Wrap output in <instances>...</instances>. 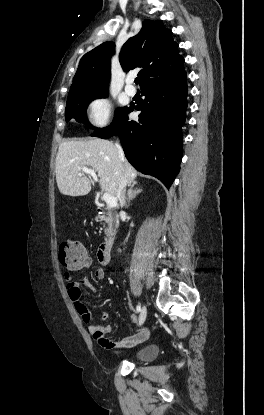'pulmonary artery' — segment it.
<instances>
[{"instance_id": "1", "label": "pulmonary artery", "mask_w": 264, "mask_h": 415, "mask_svg": "<svg viewBox=\"0 0 264 415\" xmlns=\"http://www.w3.org/2000/svg\"><path fill=\"white\" fill-rule=\"evenodd\" d=\"M133 81H134L133 77H128L126 79L125 91L130 96H134L136 94V89L132 85L133 84Z\"/></svg>"}]
</instances>
